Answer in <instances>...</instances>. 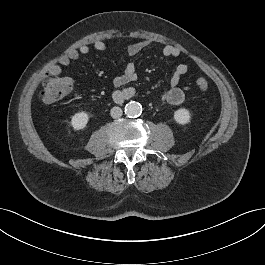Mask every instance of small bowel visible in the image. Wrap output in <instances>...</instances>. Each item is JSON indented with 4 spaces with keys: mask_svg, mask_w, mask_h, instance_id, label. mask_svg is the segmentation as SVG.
Wrapping results in <instances>:
<instances>
[{
    "mask_svg": "<svg viewBox=\"0 0 265 265\" xmlns=\"http://www.w3.org/2000/svg\"><path fill=\"white\" fill-rule=\"evenodd\" d=\"M150 40H142L135 42L128 46L126 50V56L131 58L139 54L149 45H151ZM92 47L100 52L107 50V45L102 40H96L93 42ZM90 52V46L83 44L76 49H71L67 54L62 56L57 64L50 67L49 72L54 75H59L62 72V68L68 67L73 61L80 59L82 55H87ZM162 54L165 57H176L180 54V50L174 45H166L162 49ZM190 69L189 64L181 63L174 69L170 81L169 88L162 94V99L166 103L178 106L182 104L185 100V94L183 90L179 87L180 79L185 75ZM137 68L133 62L126 64L124 71L119 76L115 77L113 83L116 87H122L130 82L137 79ZM135 95V89L133 87H126L122 90L115 92L114 97L116 100L120 101L123 99L130 98Z\"/></svg>",
    "mask_w": 265,
    "mask_h": 265,
    "instance_id": "c3829d8e",
    "label": "small bowel"
}]
</instances>
